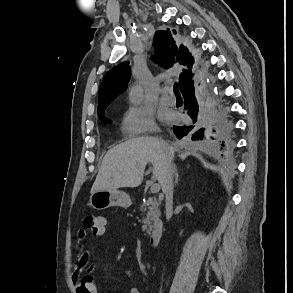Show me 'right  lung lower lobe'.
Returning <instances> with one entry per match:
<instances>
[{
	"instance_id": "98d812e1",
	"label": "right lung lower lobe",
	"mask_w": 293,
	"mask_h": 293,
	"mask_svg": "<svg viewBox=\"0 0 293 293\" xmlns=\"http://www.w3.org/2000/svg\"><path fill=\"white\" fill-rule=\"evenodd\" d=\"M182 95L185 99V109L187 113L193 119V123L197 122L198 119V112L199 106L195 96V86H194V79L187 82L181 89ZM201 116H199V120ZM219 120L218 125V139L221 142V146L226 148L230 146L231 143V132H232V125L230 122L226 121L225 117L222 115L217 117ZM194 126H181V127H174V133L176 136L181 139L184 136L191 134ZM204 129L201 128L195 133L192 134V140H199L202 139Z\"/></svg>"
}]
</instances>
